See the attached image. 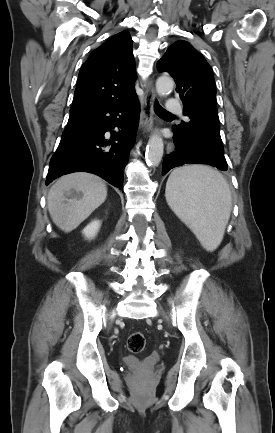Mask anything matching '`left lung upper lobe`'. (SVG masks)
Here are the masks:
<instances>
[{
	"label": "left lung upper lobe",
	"mask_w": 275,
	"mask_h": 433,
	"mask_svg": "<svg viewBox=\"0 0 275 433\" xmlns=\"http://www.w3.org/2000/svg\"><path fill=\"white\" fill-rule=\"evenodd\" d=\"M159 72L175 79L183 114L189 121L173 126V132L198 158L227 170L216 107V85L205 58L184 40L172 44L157 64Z\"/></svg>",
	"instance_id": "left-lung-upper-lobe-1"
}]
</instances>
